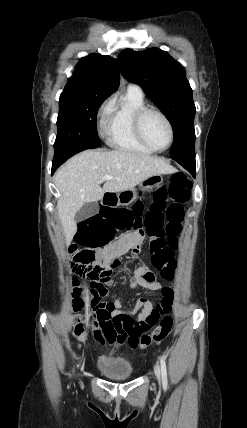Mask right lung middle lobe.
I'll use <instances>...</instances> for the list:
<instances>
[{
  "label": "right lung middle lobe",
  "instance_id": "dd1d6c3e",
  "mask_svg": "<svg viewBox=\"0 0 247 428\" xmlns=\"http://www.w3.org/2000/svg\"><path fill=\"white\" fill-rule=\"evenodd\" d=\"M106 99L90 93L60 95L54 150L96 148L99 145L97 112Z\"/></svg>",
  "mask_w": 247,
  "mask_h": 428
}]
</instances>
